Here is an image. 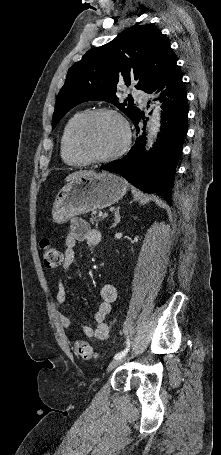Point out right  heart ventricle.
<instances>
[{"label": "right heart ventricle", "mask_w": 221, "mask_h": 455, "mask_svg": "<svg viewBox=\"0 0 221 455\" xmlns=\"http://www.w3.org/2000/svg\"><path fill=\"white\" fill-rule=\"evenodd\" d=\"M83 114V112H76L73 114L66 122L61 135L60 151L62 159L67 164L76 167L87 164V162L75 151L72 141L73 128Z\"/></svg>", "instance_id": "obj_1"}]
</instances>
